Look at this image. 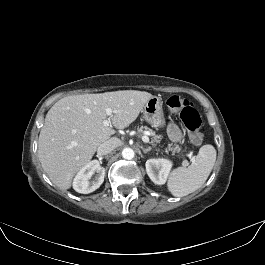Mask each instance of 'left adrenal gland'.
<instances>
[{"label": "left adrenal gland", "mask_w": 265, "mask_h": 265, "mask_svg": "<svg viewBox=\"0 0 265 265\" xmlns=\"http://www.w3.org/2000/svg\"><path fill=\"white\" fill-rule=\"evenodd\" d=\"M142 151H143L144 153H147V152L151 151V148H142Z\"/></svg>", "instance_id": "1"}]
</instances>
